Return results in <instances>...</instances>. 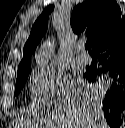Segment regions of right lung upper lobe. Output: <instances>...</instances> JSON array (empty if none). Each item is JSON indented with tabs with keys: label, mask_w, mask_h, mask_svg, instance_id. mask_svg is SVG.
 <instances>
[{
	"label": "right lung upper lobe",
	"mask_w": 125,
	"mask_h": 128,
	"mask_svg": "<svg viewBox=\"0 0 125 128\" xmlns=\"http://www.w3.org/2000/svg\"><path fill=\"white\" fill-rule=\"evenodd\" d=\"M53 9V5L45 8L32 26L30 36L23 49V58L18 72L31 67V53L35 51L47 31L48 17ZM123 23H125V17H121V10L115 0H85L82 4L75 6L71 16L73 31L79 34L86 30L92 48Z\"/></svg>",
	"instance_id": "cb5924a9"
}]
</instances>
